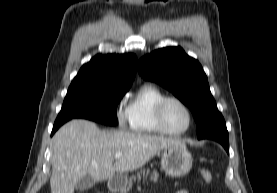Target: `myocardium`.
Masks as SVG:
<instances>
[{
	"mask_svg": "<svg viewBox=\"0 0 277 193\" xmlns=\"http://www.w3.org/2000/svg\"><path fill=\"white\" fill-rule=\"evenodd\" d=\"M170 101L177 102L187 112L188 124H187L186 128L183 129V130L172 131L165 124L164 109H165L166 104ZM155 119H156L157 127L161 131V133L166 134V135H170V136H180V135H183V134L187 133L190 130V128L192 127L193 121H194L193 113H192L190 107L188 106V104L185 101H183L182 99H180L176 96H165L164 98H162L158 102V104L156 106V109H155Z\"/></svg>",
	"mask_w": 277,
	"mask_h": 193,
	"instance_id": "f54148a6",
	"label": "myocardium"
}]
</instances>
